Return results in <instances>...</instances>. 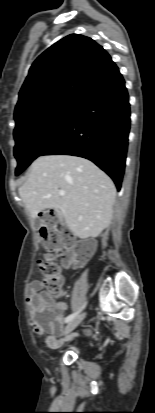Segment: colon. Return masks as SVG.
Masks as SVG:
<instances>
[{
  "mask_svg": "<svg viewBox=\"0 0 155 413\" xmlns=\"http://www.w3.org/2000/svg\"><path fill=\"white\" fill-rule=\"evenodd\" d=\"M43 226L40 233L43 245L49 253L40 261V268L43 273V283L46 289L52 293H58L63 285V276L59 265L56 262L58 256L63 254L66 263L70 261L84 262L90 255L91 250L86 242H77L74 236L66 229H59L57 224V214L52 210L42 213ZM43 301V297H39ZM53 315V310L48 309L40 313L39 318L42 323L46 322Z\"/></svg>",
  "mask_w": 155,
  "mask_h": 413,
  "instance_id": "obj_1",
  "label": "colon"
}]
</instances>
